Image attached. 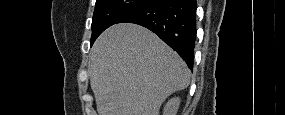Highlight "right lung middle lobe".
I'll return each instance as SVG.
<instances>
[{
	"instance_id": "dd1d6c3e",
	"label": "right lung middle lobe",
	"mask_w": 285,
	"mask_h": 115,
	"mask_svg": "<svg viewBox=\"0 0 285 115\" xmlns=\"http://www.w3.org/2000/svg\"><path fill=\"white\" fill-rule=\"evenodd\" d=\"M150 0H96L92 18L91 46L108 27L116 24L123 16L146 4Z\"/></svg>"
}]
</instances>
